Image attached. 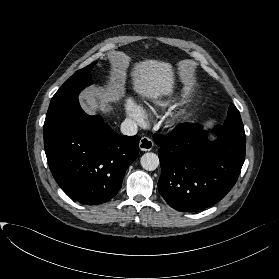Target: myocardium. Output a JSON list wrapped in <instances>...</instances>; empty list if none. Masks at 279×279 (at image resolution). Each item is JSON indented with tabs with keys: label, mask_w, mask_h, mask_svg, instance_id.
<instances>
[{
	"label": "myocardium",
	"mask_w": 279,
	"mask_h": 279,
	"mask_svg": "<svg viewBox=\"0 0 279 279\" xmlns=\"http://www.w3.org/2000/svg\"><path fill=\"white\" fill-rule=\"evenodd\" d=\"M183 117V113L182 112H178L176 114H174L171 119H170V123L172 125H176Z\"/></svg>",
	"instance_id": "myocardium-1"
}]
</instances>
